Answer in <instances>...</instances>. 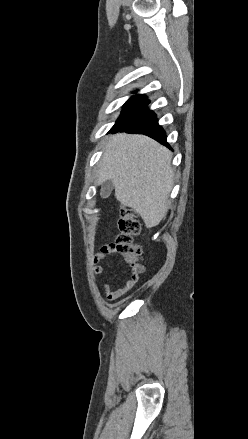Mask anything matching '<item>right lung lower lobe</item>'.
<instances>
[{
    "instance_id": "1",
    "label": "right lung lower lobe",
    "mask_w": 248,
    "mask_h": 439,
    "mask_svg": "<svg viewBox=\"0 0 248 439\" xmlns=\"http://www.w3.org/2000/svg\"><path fill=\"white\" fill-rule=\"evenodd\" d=\"M124 131L127 133L145 134L161 144L169 147L166 141V134L158 124V120L153 111L146 106L123 121L115 124L110 132ZM170 148V147H169Z\"/></svg>"
}]
</instances>
